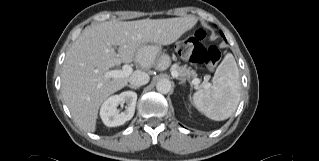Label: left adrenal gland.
<instances>
[{
    "mask_svg": "<svg viewBox=\"0 0 319 161\" xmlns=\"http://www.w3.org/2000/svg\"><path fill=\"white\" fill-rule=\"evenodd\" d=\"M177 79L180 80V84H182V85L185 84V81H186L185 79H182V78H177Z\"/></svg>",
    "mask_w": 319,
    "mask_h": 161,
    "instance_id": "left-adrenal-gland-1",
    "label": "left adrenal gland"
}]
</instances>
